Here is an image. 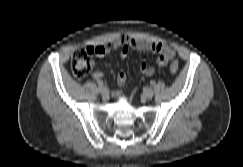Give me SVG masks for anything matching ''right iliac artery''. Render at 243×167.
Here are the masks:
<instances>
[{
	"label": "right iliac artery",
	"mask_w": 243,
	"mask_h": 167,
	"mask_svg": "<svg viewBox=\"0 0 243 167\" xmlns=\"http://www.w3.org/2000/svg\"><path fill=\"white\" fill-rule=\"evenodd\" d=\"M97 84L99 87H103V85H104L103 81H98Z\"/></svg>",
	"instance_id": "82829eb1"
}]
</instances>
